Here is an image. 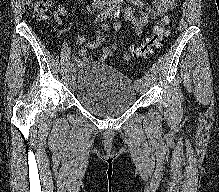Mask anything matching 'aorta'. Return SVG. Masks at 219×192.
<instances>
[{"label":"aorta","mask_w":219,"mask_h":192,"mask_svg":"<svg viewBox=\"0 0 219 192\" xmlns=\"http://www.w3.org/2000/svg\"><path fill=\"white\" fill-rule=\"evenodd\" d=\"M111 4H114V5H118L120 4L121 0H109Z\"/></svg>","instance_id":"1"}]
</instances>
